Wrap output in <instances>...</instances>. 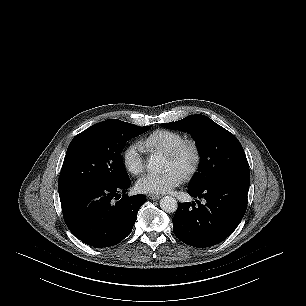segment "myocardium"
Returning a JSON list of instances; mask_svg holds the SVG:
<instances>
[{
  "label": "myocardium",
  "instance_id": "myocardium-1",
  "mask_svg": "<svg viewBox=\"0 0 306 306\" xmlns=\"http://www.w3.org/2000/svg\"><path fill=\"white\" fill-rule=\"evenodd\" d=\"M186 150H191L192 155H193L192 163L184 174L185 179H190L198 171V169L200 167V164H201V159H202L201 149H200L198 143L195 140L185 139V140L181 141L172 150L167 152L166 156L170 159L177 160L181 157V155Z\"/></svg>",
  "mask_w": 306,
  "mask_h": 306
}]
</instances>
